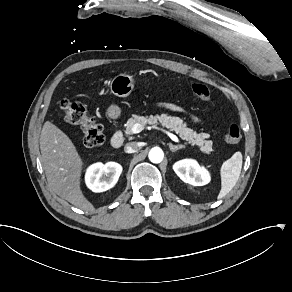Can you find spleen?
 I'll return each mask as SVG.
<instances>
[{
  "label": "spleen",
  "instance_id": "1",
  "mask_svg": "<svg viewBox=\"0 0 292 292\" xmlns=\"http://www.w3.org/2000/svg\"><path fill=\"white\" fill-rule=\"evenodd\" d=\"M243 157L241 152H236L233 156L226 160L221 167V190L218 199L225 197L236 185L241 169Z\"/></svg>",
  "mask_w": 292,
  "mask_h": 292
}]
</instances>
